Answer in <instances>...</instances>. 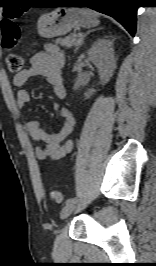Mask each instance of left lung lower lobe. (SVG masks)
<instances>
[{
  "mask_svg": "<svg viewBox=\"0 0 156 266\" xmlns=\"http://www.w3.org/2000/svg\"><path fill=\"white\" fill-rule=\"evenodd\" d=\"M56 3H73L79 7L92 8L116 19L132 36L135 34L137 0H69Z\"/></svg>",
  "mask_w": 156,
  "mask_h": 266,
  "instance_id": "1",
  "label": "left lung lower lobe"
}]
</instances>
